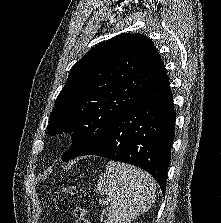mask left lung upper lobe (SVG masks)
Returning a JSON list of instances; mask_svg holds the SVG:
<instances>
[{
	"mask_svg": "<svg viewBox=\"0 0 221 223\" xmlns=\"http://www.w3.org/2000/svg\"><path fill=\"white\" fill-rule=\"evenodd\" d=\"M163 62L152 41L124 33L99 43L70 70L49 117L48 133L73 132L63 161L78 157L155 81Z\"/></svg>",
	"mask_w": 221,
	"mask_h": 223,
	"instance_id": "left-lung-upper-lobe-1",
	"label": "left lung upper lobe"
}]
</instances>
